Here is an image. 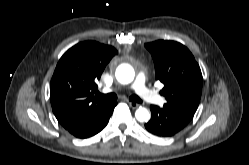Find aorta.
<instances>
[{
    "mask_svg": "<svg viewBox=\"0 0 249 165\" xmlns=\"http://www.w3.org/2000/svg\"><path fill=\"white\" fill-rule=\"evenodd\" d=\"M116 78L122 84H128L133 81L135 73L134 69L129 65H121L116 70ZM135 117L139 122H147L150 120V113L144 107H139L135 112Z\"/></svg>",
    "mask_w": 249,
    "mask_h": 165,
    "instance_id": "762f6f07",
    "label": "aorta"
}]
</instances>
